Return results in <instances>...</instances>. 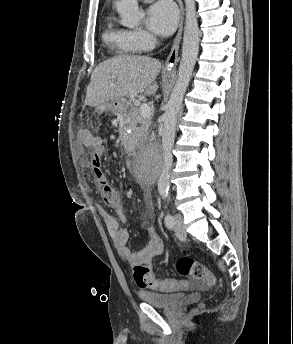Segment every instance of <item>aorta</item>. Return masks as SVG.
I'll use <instances>...</instances> for the list:
<instances>
[{"instance_id":"obj_1","label":"aorta","mask_w":293,"mask_h":344,"mask_svg":"<svg viewBox=\"0 0 293 344\" xmlns=\"http://www.w3.org/2000/svg\"><path fill=\"white\" fill-rule=\"evenodd\" d=\"M117 12L121 17V24L126 27H135L144 17L139 9L137 0H120L116 4ZM186 20L183 35L182 57L178 69V78L172 89L166 111L162 115V157L163 166L158 179V191L166 196L170 185V170L173 163L172 149L175 141L176 123L181 109L183 97L189 85L192 72L199 51V28L196 15L195 0H185ZM138 169L150 171L155 161L146 154H141L137 161Z\"/></svg>"}]
</instances>
